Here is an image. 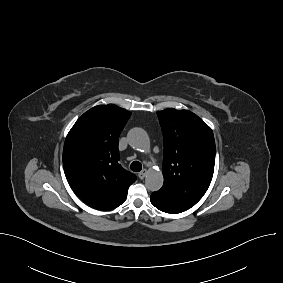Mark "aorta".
Here are the masks:
<instances>
[{"label":"aorta","mask_w":283,"mask_h":283,"mask_svg":"<svg viewBox=\"0 0 283 283\" xmlns=\"http://www.w3.org/2000/svg\"><path fill=\"white\" fill-rule=\"evenodd\" d=\"M129 145L139 151L150 149L148 134L142 128H133L128 133ZM163 174L159 170L150 169L145 178V186L150 191H157L163 185Z\"/></svg>","instance_id":"762f6f07"}]
</instances>
